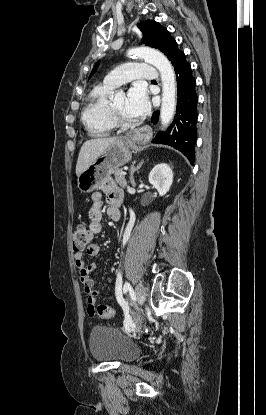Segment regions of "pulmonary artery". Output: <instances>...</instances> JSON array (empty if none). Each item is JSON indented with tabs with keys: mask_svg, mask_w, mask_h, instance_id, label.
<instances>
[{
	"mask_svg": "<svg viewBox=\"0 0 266 415\" xmlns=\"http://www.w3.org/2000/svg\"><path fill=\"white\" fill-rule=\"evenodd\" d=\"M158 71L147 63H127L111 71L104 79L106 84L120 86L132 79L156 80Z\"/></svg>",
	"mask_w": 266,
	"mask_h": 415,
	"instance_id": "pulmonary-artery-1",
	"label": "pulmonary artery"
}]
</instances>
